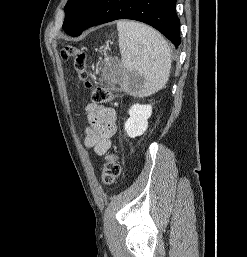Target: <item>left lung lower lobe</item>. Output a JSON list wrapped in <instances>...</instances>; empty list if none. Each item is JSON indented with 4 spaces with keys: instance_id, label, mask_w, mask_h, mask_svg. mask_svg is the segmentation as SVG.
<instances>
[{
    "instance_id": "0a47b994",
    "label": "left lung lower lobe",
    "mask_w": 247,
    "mask_h": 257,
    "mask_svg": "<svg viewBox=\"0 0 247 257\" xmlns=\"http://www.w3.org/2000/svg\"><path fill=\"white\" fill-rule=\"evenodd\" d=\"M176 0H98L80 28L70 36L116 19H132L151 25L176 47L180 44Z\"/></svg>"
}]
</instances>
